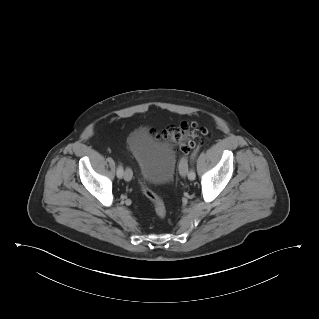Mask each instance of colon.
<instances>
[{
    "instance_id": "1",
    "label": "colon",
    "mask_w": 319,
    "mask_h": 319,
    "mask_svg": "<svg viewBox=\"0 0 319 319\" xmlns=\"http://www.w3.org/2000/svg\"><path fill=\"white\" fill-rule=\"evenodd\" d=\"M208 135V130L194 123L184 122L179 126L168 128L163 137L171 140L182 154H187L194 146L195 140ZM141 188L145 196L151 201L157 217L163 219L167 215L166 205L162 197L147 184L141 182Z\"/></svg>"
}]
</instances>
